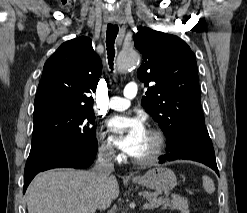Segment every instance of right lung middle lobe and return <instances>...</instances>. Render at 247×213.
<instances>
[{"instance_id":"1","label":"right lung middle lobe","mask_w":247,"mask_h":213,"mask_svg":"<svg viewBox=\"0 0 247 213\" xmlns=\"http://www.w3.org/2000/svg\"><path fill=\"white\" fill-rule=\"evenodd\" d=\"M31 151L63 138H72L77 146L90 149L97 145L93 109L64 106L48 107L33 115Z\"/></svg>"}]
</instances>
